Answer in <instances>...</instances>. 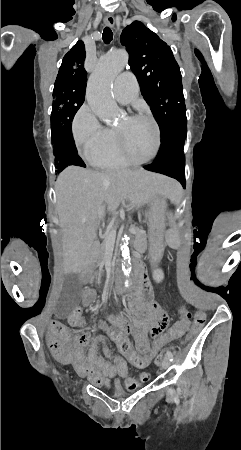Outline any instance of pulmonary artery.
Listing matches in <instances>:
<instances>
[{
	"instance_id": "pulmonary-artery-1",
	"label": "pulmonary artery",
	"mask_w": 241,
	"mask_h": 450,
	"mask_svg": "<svg viewBox=\"0 0 241 450\" xmlns=\"http://www.w3.org/2000/svg\"><path fill=\"white\" fill-rule=\"evenodd\" d=\"M135 76L129 69H126L122 75L118 76L114 85V97L117 102L123 105L130 104L135 96L137 85L133 83Z\"/></svg>"
}]
</instances>
